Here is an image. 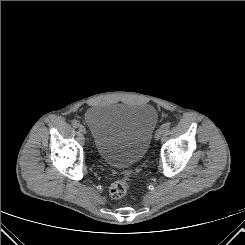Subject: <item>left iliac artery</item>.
<instances>
[{
    "label": "left iliac artery",
    "mask_w": 245,
    "mask_h": 245,
    "mask_svg": "<svg viewBox=\"0 0 245 245\" xmlns=\"http://www.w3.org/2000/svg\"><path fill=\"white\" fill-rule=\"evenodd\" d=\"M170 126H171V123H170V122H165V123L161 126V128H162L164 131H166V130H168V129L170 128Z\"/></svg>",
    "instance_id": "left-iliac-artery-1"
}]
</instances>
